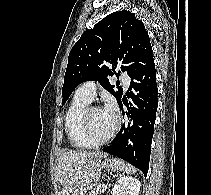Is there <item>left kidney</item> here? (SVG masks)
Here are the masks:
<instances>
[{
  "mask_svg": "<svg viewBox=\"0 0 211 195\" xmlns=\"http://www.w3.org/2000/svg\"><path fill=\"white\" fill-rule=\"evenodd\" d=\"M140 187L141 183L137 178L122 176L113 187V195H138Z\"/></svg>",
  "mask_w": 211,
  "mask_h": 195,
  "instance_id": "left-kidney-1",
  "label": "left kidney"
}]
</instances>
